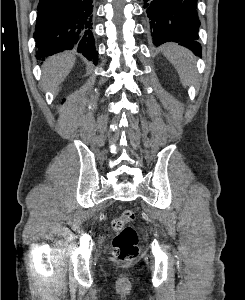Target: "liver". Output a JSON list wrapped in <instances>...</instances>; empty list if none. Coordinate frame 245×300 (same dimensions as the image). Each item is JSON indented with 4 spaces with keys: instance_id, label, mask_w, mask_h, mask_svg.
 <instances>
[{
    "instance_id": "6515ba94",
    "label": "liver",
    "mask_w": 245,
    "mask_h": 300,
    "mask_svg": "<svg viewBox=\"0 0 245 300\" xmlns=\"http://www.w3.org/2000/svg\"><path fill=\"white\" fill-rule=\"evenodd\" d=\"M75 63L71 54H61L46 60L42 68V82L45 89L56 90L64 81Z\"/></svg>"
}]
</instances>
